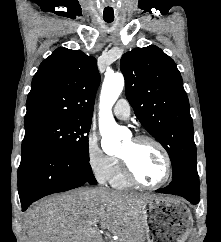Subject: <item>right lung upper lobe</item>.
I'll list each match as a JSON object with an SVG mask.
<instances>
[{
    "label": "right lung upper lobe",
    "instance_id": "cb5924a9",
    "mask_svg": "<svg viewBox=\"0 0 221 242\" xmlns=\"http://www.w3.org/2000/svg\"><path fill=\"white\" fill-rule=\"evenodd\" d=\"M99 82L94 57L79 50L56 49L34 75L25 126L53 119L92 118Z\"/></svg>",
    "mask_w": 221,
    "mask_h": 242
}]
</instances>
